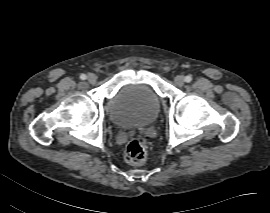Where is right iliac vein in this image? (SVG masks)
Returning a JSON list of instances; mask_svg holds the SVG:
<instances>
[{
	"instance_id": "63e3f726",
	"label": "right iliac vein",
	"mask_w": 270,
	"mask_h": 213,
	"mask_svg": "<svg viewBox=\"0 0 270 213\" xmlns=\"http://www.w3.org/2000/svg\"><path fill=\"white\" fill-rule=\"evenodd\" d=\"M87 80H88V82H89L90 84H95L97 79H96V76H95L94 74H90V75L88 76Z\"/></svg>"
}]
</instances>
